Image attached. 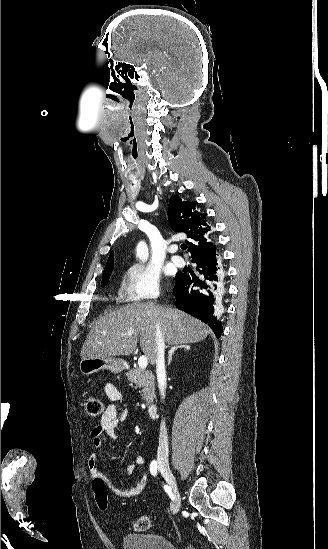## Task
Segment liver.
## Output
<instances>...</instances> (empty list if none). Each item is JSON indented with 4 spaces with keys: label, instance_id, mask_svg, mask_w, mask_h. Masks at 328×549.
I'll list each match as a JSON object with an SVG mask.
<instances>
[{
    "label": "liver",
    "instance_id": "obj_1",
    "mask_svg": "<svg viewBox=\"0 0 328 549\" xmlns=\"http://www.w3.org/2000/svg\"><path fill=\"white\" fill-rule=\"evenodd\" d=\"M168 345L200 343L206 339L207 325L191 315L154 303H131L97 319L81 349V359L117 357L134 353L140 347L150 365L156 363V327ZM131 333V337H128Z\"/></svg>",
    "mask_w": 328,
    "mask_h": 549
}]
</instances>
